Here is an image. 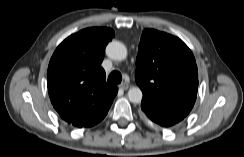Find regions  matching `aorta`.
<instances>
[{
  "label": "aorta",
  "mask_w": 244,
  "mask_h": 157,
  "mask_svg": "<svg viewBox=\"0 0 244 157\" xmlns=\"http://www.w3.org/2000/svg\"><path fill=\"white\" fill-rule=\"evenodd\" d=\"M106 54L109 58L122 61L127 58V48L119 41H112L106 47ZM143 94L139 87H132L128 91V99L132 103H140Z\"/></svg>",
  "instance_id": "aorta-1"
}]
</instances>
